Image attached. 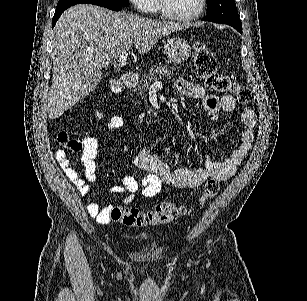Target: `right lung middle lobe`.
Returning a JSON list of instances; mask_svg holds the SVG:
<instances>
[{
    "mask_svg": "<svg viewBox=\"0 0 307 301\" xmlns=\"http://www.w3.org/2000/svg\"><path fill=\"white\" fill-rule=\"evenodd\" d=\"M102 2L117 4L122 7L128 6V0H59L56 9H61L69 6H73L79 3H90V2Z\"/></svg>",
    "mask_w": 307,
    "mask_h": 301,
    "instance_id": "right-lung-middle-lobe-1",
    "label": "right lung middle lobe"
}]
</instances>
